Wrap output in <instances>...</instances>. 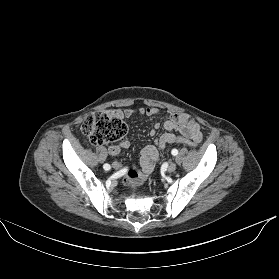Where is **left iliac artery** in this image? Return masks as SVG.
Returning a JSON list of instances; mask_svg holds the SVG:
<instances>
[{
    "label": "left iliac artery",
    "instance_id": "obj_1",
    "mask_svg": "<svg viewBox=\"0 0 279 279\" xmlns=\"http://www.w3.org/2000/svg\"><path fill=\"white\" fill-rule=\"evenodd\" d=\"M171 153H172L173 156H176L178 154V150L177 149H173L171 151Z\"/></svg>",
    "mask_w": 279,
    "mask_h": 279
}]
</instances>
